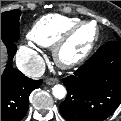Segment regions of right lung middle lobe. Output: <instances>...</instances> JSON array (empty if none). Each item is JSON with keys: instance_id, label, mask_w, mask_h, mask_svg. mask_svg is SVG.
Here are the masks:
<instances>
[{"instance_id": "1", "label": "right lung middle lobe", "mask_w": 121, "mask_h": 121, "mask_svg": "<svg viewBox=\"0 0 121 121\" xmlns=\"http://www.w3.org/2000/svg\"><path fill=\"white\" fill-rule=\"evenodd\" d=\"M21 11L12 10L1 13V39L16 42L19 39V19Z\"/></svg>"}]
</instances>
